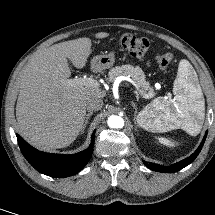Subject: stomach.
<instances>
[{"instance_id": "0dacf381", "label": "stomach", "mask_w": 215, "mask_h": 215, "mask_svg": "<svg viewBox=\"0 0 215 215\" xmlns=\"http://www.w3.org/2000/svg\"><path fill=\"white\" fill-rule=\"evenodd\" d=\"M115 62V53L110 52L105 55H97L92 59V66L96 70H104L111 68L114 65ZM138 124L146 129V123L138 121ZM147 130V129H146Z\"/></svg>"}]
</instances>
